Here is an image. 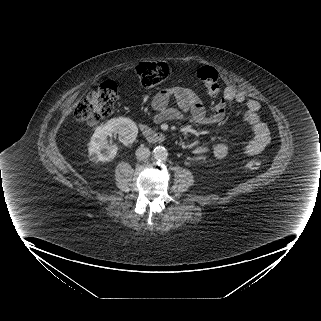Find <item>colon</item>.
I'll return each instance as SVG.
<instances>
[{"instance_id": "obj_1", "label": "colon", "mask_w": 321, "mask_h": 321, "mask_svg": "<svg viewBox=\"0 0 321 321\" xmlns=\"http://www.w3.org/2000/svg\"><path fill=\"white\" fill-rule=\"evenodd\" d=\"M171 72L170 66L165 62H144L136 68L138 78L146 87L161 84L171 76ZM197 78L210 96L219 94V75L214 67L208 65L200 67ZM117 94V85L113 81H104L78 104L74 112L75 118L92 124L101 122L111 115ZM261 166L262 162L258 158L250 159L246 163L249 170H258Z\"/></svg>"}]
</instances>
